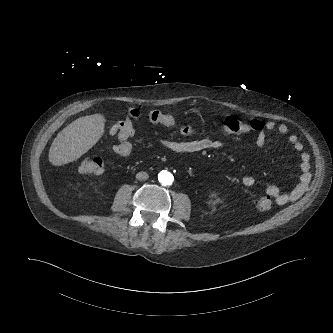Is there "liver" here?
Here are the masks:
<instances>
[{"label":"liver","instance_id":"liver-1","mask_svg":"<svg viewBox=\"0 0 333 333\" xmlns=\"http://www.w3.org/2000/svg\"><path fill=\"white\" fill-rule=\"evenodd\" d=\"M105 122V117L98 113L74 120L52 142L49 162L61 166L79 159L102 137Z\"/></svg>","mask_w":333,"mask_h":333}]
</instances>
